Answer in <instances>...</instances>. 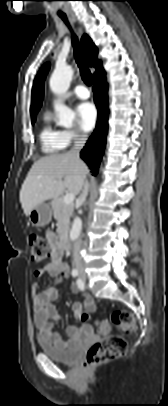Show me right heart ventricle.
I'll return each instance as SVG.
<instances>
[{
    "label": "right heart ventricle",
    "instance_id": "1",
    "mask_svg": "<svg viewBox=\"0 0 168 406\" xmlns=\"http://www.w3.org/2000/svg\"><path fill=\"white\" fill-rule=\"evenodd\" d=\"M39 138L42 150L49 154L61 152L68 145L63 135V131L51 124V116L49 113H45L43 116V125Z\"/></svg>",
    "mask_w": 168,
    "mask_h": 406
}]
</instances>
